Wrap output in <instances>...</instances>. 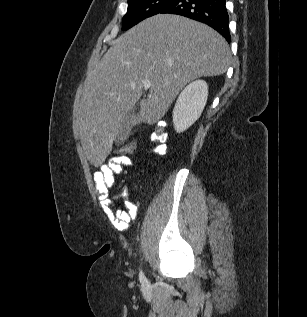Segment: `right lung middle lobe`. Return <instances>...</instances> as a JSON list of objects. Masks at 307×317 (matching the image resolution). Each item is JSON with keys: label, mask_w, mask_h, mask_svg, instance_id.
<instances>
[{"label": "right lung middle lobe", "mask_w": 307, "mask_h": 317, "mask_svg": "<svg viewBox=\"0 0 307 317\" xmlns=\"http://www.w3.org/2000/svg\"><path fill=\"white\" fill-rule=\"evenodd\" d=\"M173 0H128V10L123 17L122 30H127L142 20L161 13Z\"/></svg>", "instance_id": "obj_1"}]
</instances>
